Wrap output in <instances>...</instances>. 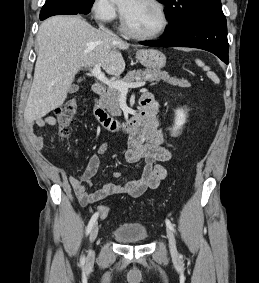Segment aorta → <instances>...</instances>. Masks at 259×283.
Returning <instances> with one entry per match:
<instances>
[{"instance_id":"aorta-1","label":"aorta","mask_w":259,"mask_h":283,"mask_svg":"<svg viewBox=\"0 0 259 283\" xmlns=\"http://www.w3.org/2000/svg\"><path fill=\"white\" fill-rule=\"evenodd\" d=\"M112 2H119L120 0H111Z\"/></svg>"}]
</instances>
